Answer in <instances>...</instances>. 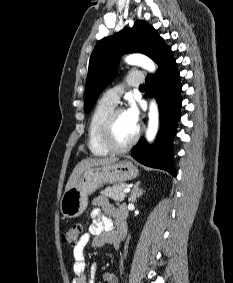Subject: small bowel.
<instances>
[{
    "label": "small bowel",
    "instance_id": "c3829d8e",
    "mask_svg": "<svg viewBox=\"0 0 233 283\" xmlns=\"http://www.w3.org/2000/svg\"><path fill=\"white\" fill-rule=\"evenodd\" d=\"M91 218L92 223L88 230L73 247V272L75 276L72 283H95L96 265H92L90 268V279L87 280L85 276V250L88 246L99 248L113 244V233L118 222L125 221V213L122 209L112 205L105 197L100 196L93 200ZM103 279L106 283H118L114 272H106Z\"/></svg>",
    "mask_w": 233,
    "mask_h": 283
}]
</instances>
